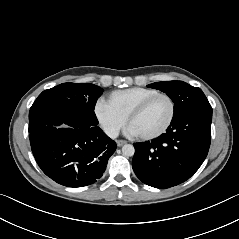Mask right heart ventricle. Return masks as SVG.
<instances>
[{"label":"right heart ventricle","mask_w":239,"mask_h":239,"mask_svg":"<svg viewBox=\"0 0 239 239\" xmlns=\"http://www.w3.org/2000/svg\"><path fill=\"white\" fill-rule=\"evenodd\" d=\"M155 93H158L156 89L132 87L111 92L105 101L113 109L127 117L138 103Z\"/></svg>","instance_id":"e07e8e85"}]
</instances>
